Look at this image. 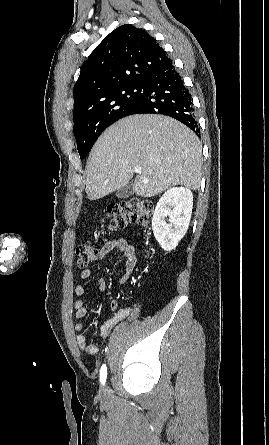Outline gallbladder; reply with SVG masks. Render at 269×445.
<instances>
[{
	"label": "gallbladder",
	"mask_w": 269,
	"mask_h": 445,
	"mask_svg": "<svg viewBox=\"0 0 269 445\" xmlns=\"http://www.w3.org/2000/svg\"><path fill=\"white\" fill-rule=\"evenodd\" d=\"M132 194H133V184L132 183H128L126 186L120 188L117 191L116 196L118 198H128Z\"/></svg>",
	"instance_id": "obj_1"
}]
</instances>
